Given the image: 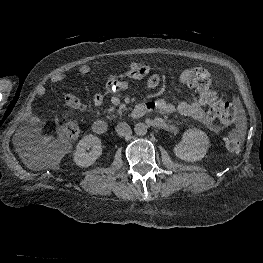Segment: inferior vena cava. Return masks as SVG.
Masks as SVG:
<instances>
[{
	"label": "inferior vena cava",
	"instance_id": "1",
	"mask_svg": "<svg viewBox=\"0 0 263 263\" xmlns=\"http://www.w3.org/2000/svg\"><path fill=\"white\" fill-rule=\"evenodd\" d=\"M116 132L119 136H126L131 132L130 126L125 122H120L116 126Z\"/></svg>",
	"mask_w": 263,
	"mask_h": 263
}]
</instances>
